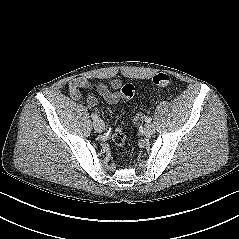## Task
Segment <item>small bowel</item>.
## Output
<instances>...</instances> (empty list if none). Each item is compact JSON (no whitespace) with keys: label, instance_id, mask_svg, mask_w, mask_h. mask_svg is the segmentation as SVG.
<instances>
[{"label":"small bowel","instance_id":"c3829d8e","mask_svg":"<svg viewBox=\"0 0 239 239\" xmlns=\"http://www.w3.org/2000/svg\"><path fill=\"white\" fill-rule=\"evenodd\" d=\"M121 86L119 80H112L108 84L93 83L86 77H78L70 81L69 92L72 98L78 99L81 96V89L96 91L107 103L116 104L120 101V94L117 91ZM98 99L91 95L87 98V104L91 108L97 106Z\"/></svg>","mask_w":239,"mask_h":239}]
</instances>
